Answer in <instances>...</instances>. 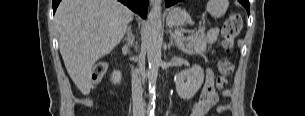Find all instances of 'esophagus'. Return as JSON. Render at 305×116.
I'll return each instance as SVG.
<instances>
[{"mask_svg":"<svg viewBox=\"0 0 305 116\" xmlns=\"http://www.w3.org/2000/svg\"><path fill=\"white\" fill-rule=\"evenodd\" d=\"M150 4L152 6H155V5L159 4V1L158 0H150Z\"/></svg>","mask_w":305,"mask_h":116,"instance_id":"obj_1","label":"esophagus"}]
</instances>
